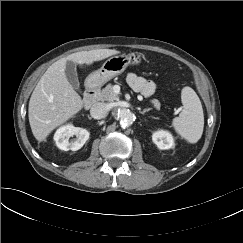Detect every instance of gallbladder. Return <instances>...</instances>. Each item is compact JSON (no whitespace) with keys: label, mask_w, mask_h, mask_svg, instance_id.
<instances>
[{"label":"gallbladder","mask_w":243,"mask_h":243,"mask_svg":"<svg viewBox=\"0 0 243 243\" xmlns=\"http://www.w3.org/2000/svg\"><path fill=\"white\" fill-rule=\"evenodd\" d=\"M65 74H66L67 80L72 85V87L79 91L80 83L78 80V75L76 72V65L74 62H72V61L66 62Z\"/></svg>","instance_id":"bac80fb5"}]
</instances>
